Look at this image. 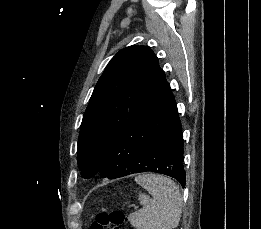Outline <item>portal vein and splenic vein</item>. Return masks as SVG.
I'll list each match as a JSON object with an SVG mask.
<instances>
[{
  "label": "portal vein and splenic vein",
  "instance_id": "portal-vein-and-splenic-vein-1",
  "mask_svg": "<svg viewBox=\"0 0 261 229\" xmlns=\"http://www.w3.org/2000/svg\"><path fill=\"white\" fill-rule=\"evenodd\" d=\"M131 207H132V208H135V207H136V204H135V203H132V204H131Z\"/></svg>",
  "mask_w": 261,
  "mask_h": 229
}]
</instances>
